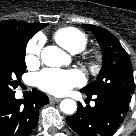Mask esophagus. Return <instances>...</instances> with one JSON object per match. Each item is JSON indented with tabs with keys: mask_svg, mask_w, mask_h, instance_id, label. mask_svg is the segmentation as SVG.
<instances>
[{
	"mask_svg": "<svg viewBox=\"0 0 136 136\" xmlns=\"http://www.w3.org/2000/svg\"><path fill=\"white\" fill-rule=\"evenodd\" d=\"M49 100H50L51 102H59V101H61L60 98H56V97H54V96H50V97H49Z\"/></svg>",
	"mask_w": 136,
	"mask_h": 136,
	"instance_id": "esophagus-1",
	"label": "esophagus"
}]
</instances>
